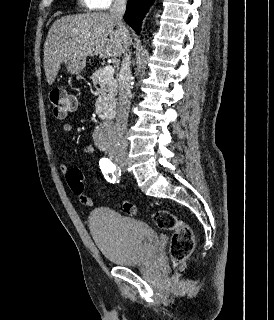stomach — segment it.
<instances>
[{
    "label": "stomach",
    "mask_w": 274,
    "mask_h": 320,
    "mask_svg": "<svg viewBox=\"0 0 274 320\" xmlns=\"http://www.w3.org/2000/svg\"><path fill=\"white\" fill-rule=\"evenodd\" d=\"M63 62L72 74H81L82 70L85 68L86 58H73V56H67V58H64Z\"/></svg>",
    "instance_id": "stomach-1"
}]
</instances>
